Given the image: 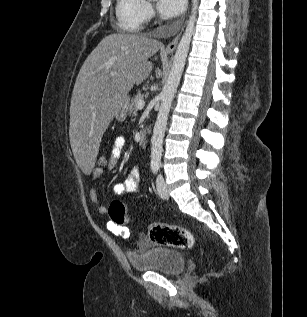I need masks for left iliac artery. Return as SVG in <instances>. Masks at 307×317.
<instances>
[{"mask_svg":"<svg viewBox=\"0 0 307 317\" xmlns=\"http://www.w3.org/2000/svg\"><path fill=\"white\" fill-rule=\"evenodd\" d=\"M158 169H159V167H158V166L153 167V171H154V173H157Z\"/></svg>","mask_w":307,"mask_h":317,"instance_id":"1","label":"left iliac artery"}]
</instances>
